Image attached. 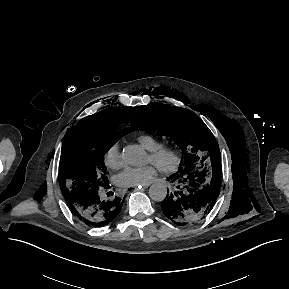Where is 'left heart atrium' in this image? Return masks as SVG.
<instances>
[{
	"label": "left heart atrium",
	"instance_id": "1",
	"mask_svg": "<svg viewBox=\"0 0 289 289\" xmlns=\"http://www.w3.org/2000/svg\"><path fill=\"white\" fill-rule=\"evenodd\" d=\"M156 175V168L149 164L143 167H127L116 177L121 187H139L151 183Z\"/></svg>",
	"mask_w": 289,
	"mask_h": 289
}]
</instances>
